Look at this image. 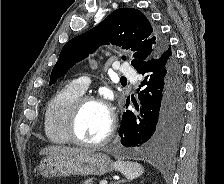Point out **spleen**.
Listing matches in <instances>:
<instances>
[{
  "instance_id": "obj_1",
  "label": "spleen",
  "mask_w": 224,
  "mask_h": 184,
  "mask_svg": "<svg viewBox=\"0 0 224 184\" xmlns=\"http://www.w3.org/2000/svg\"><path fill=\"white\" fill-rule=\"evenodd\" d=\"M114 167L129 180H133L144 173V168L137 162L116 161Z\"/></svg>"
}]
</instances>
